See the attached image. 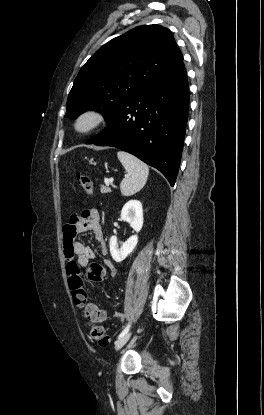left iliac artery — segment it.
<instances>
[{
  "instance_id": "44dca946",
  "label": "left iliac artery",
  "mask_w": 264,
  "mask_h": 415,
  "mask_svg": "<svg viewBox=\"0 0 264 415\" xmlns=\"http://www.w3.org/2000/svg\"><path fill=\"white\" fill-rule=\"evenodd\" d=\"M129 328H130V324H128L125 328H124V330L120 333V335L118 336V338H121L122 336H124L128 331H129Z\"/></svg>"
}]
</instances>
